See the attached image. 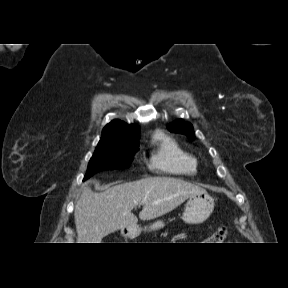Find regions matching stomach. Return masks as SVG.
I'll use <instances>...</instances> for the list:
<instances>
[{"label":"stomach","mask_w":288,"mask_h":288,"mask_svg":"<svg viewBox=\"0 0 288 288\" xmlns=\"http://www.w3.org/2000/svg\"><path fill=\"white\" fill-rule=\"evenodd\" d=\"M214 199L204 190L189 197L182 219L189 224H199L204 222L214 209ZM164 226L162 221H157L150 226L151 230H156ZM142 229L136 227L128 230L123 229L122 234L126 237L134 238L141 234Z\"/></svg>","instance_id":"1"}]
</instances>
